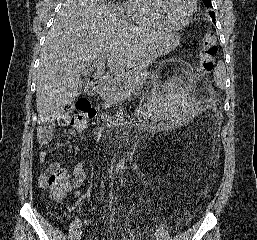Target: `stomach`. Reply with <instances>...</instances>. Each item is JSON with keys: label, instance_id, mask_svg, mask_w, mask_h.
Here are the masks:
<instances>
[{"label": "stomach", "instance_id": "stomach-1", "mask_svg": "<svg viewBox=\"0 0 257 240\" xmlns=\"http://www.w3.org/2000/svg\"><path fill=\"white\" fill-rule=\"evenodd\" d=\"M180 40L181 37L178 33L172 30H166L159 42L151 47L133 66L129 67L132 69L129 72L143 70L155 59L173 51L179 45Z\"/></svg>", "mask_w": 257, "mask_h": 240}]
</instances>
